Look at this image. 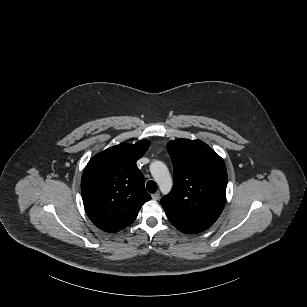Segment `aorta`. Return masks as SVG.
I'll return each mask as SVG.
<instances>
[{
  "instance_id": "762f6f07",
  "label": "aorta",
  "mask_w": 307,
  "mask_h": 307,
  "mask_svg": "<svg viewBox=\"0 0 307 307\" xmlns=\"http://www.w3.org/2000/svg\"><path fill=\"white\" fill-rule=\"evenodd\" d=\"M149 171L158 184L161 194L168 195L173 188V180L167 165L161 160H152L149 164Z\"/></svg>"
}]
</instances>
